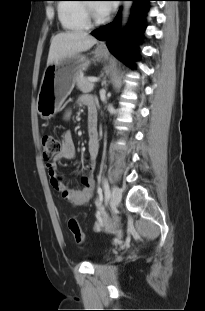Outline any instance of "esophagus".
Listing matches in <instances>:
<instances>
[{
  "label": "esophagus",
  "instance_id": "obj_1",
  "mask_svg": "<svg viewBox=\"0 0 205 311\" xmlns=\"http://www.w3.org/2000/svg\"><path fill=\"white\" fill-rule=\"evenodd\" d=\"M100 47H101V48L105 47V42H102V43L100 44Z\"/></svg>",
  "mask_w": 205,
  "mask_h": 311
}]
</instances>
